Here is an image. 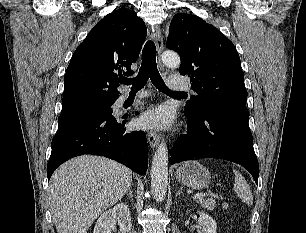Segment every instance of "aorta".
<instances>
[{"mask_svg": "<svg viewBox=\"0 0 306 233\" xmlns=\"http://www.w3.org/2000/svg\"><path fill=\"white\" fill-rule=\"evenodd\" d=\"M162 61L168 67H179L181 60L177 53L165 51ZM168 185V149L162 141L152 159L151 165V189L157 201H163Z\"/></svg>", "mask_w": 306, "mask_h": 233, "instance_id": "762f6f07", "label": "aorta"}]
</instances>
